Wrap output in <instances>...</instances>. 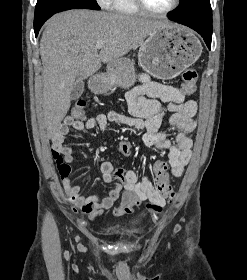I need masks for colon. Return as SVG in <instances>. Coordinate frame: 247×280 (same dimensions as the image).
Wrapping results in <instances>:
<instances>
[{
    "mask_svg": "<svg viewBox=\"0 0 247 280\" xmlns=\"http://www.w3.org/2000/svg\"><path fill=\"white\" fill-rule=\"evenodd\" d=\"M197 71L194 68L186 69L182 74V85L181 89L185 94H192L196 90L197 84ZM86 102L84 100H78L72 107L71 113L75 119H83L85 117ZM120 151L126 155L130 156L133 153L132 144L129 142H123L119 146ZM59 173L68 172L69 167L63 163L60 156H54ZM167 164L163 161H157L154 164L153 170L156 178V190L165 198L172 199L174 197V190L169 183V175L167 171ZM124 170L118 169L114 171L113 178L116 179L111 184V189L113 191H121L129 186V181L126 178Z\"/></svg>",
    "mask_w": 247,
    "mask_h": 280,
    "instance_id": "colon-1",
    "label": "colon"
}]
</instances>
